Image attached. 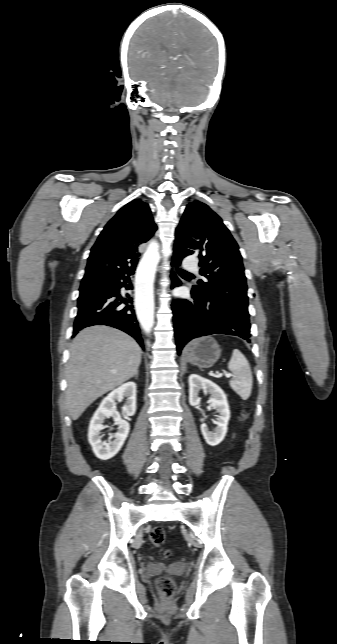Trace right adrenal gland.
<instances>
[{"mask_svg":"<svg viewBox=\"0 0 337 644\" xmlns=\"http://www.w3.org/2000/svg\"><path fill=\"white\" fill-rule=\"evenodd\" d=\"M133 377H135L136 379H138V371L135 373V375H134Z\"/></svg>","mask_w":337,"mask_h":644,"instance_id":"right-adrenal-gland-1","label":"right adrenal gland"}]
</instances>
